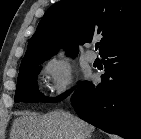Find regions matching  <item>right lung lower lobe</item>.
Wrapping results in <instances>:
<instances>
[{
  "mask_svg": "<svg viewBox=\"0 0 141 139\" xmlns=\"http://www.w3.org/2000/svg\"><path fill=\"white\" fill-rule=\"evenodd\" d=\"M101 83L83 82L71 98L78 116L126 139H141V36L101 54Z\"/></svg>",
  "mask_w": 141,
  "mask_h": 139,
  "instance_id": "right-lung-lower-lobe-1",
  "label": "right lung lower lobe"
}]
</instances>
